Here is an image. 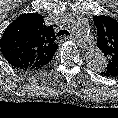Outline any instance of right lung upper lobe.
<instances>
[{"label":"right lung upper lobe","instance_id":"cb5924a9","mask_svg":"<svg viewBox=\"0 0 118 118\" xmlns=\"http://www.w3.org/2000/svg\"><path fill=\"white\" fill-rule=\"evenodd\" d=\"M43 18L37 13H25L5 29L0 48L13 67L39 69L53 58L58 46L52 26H46Z\"/></svg>","mask_w":118,"mask_h":118}]
</instances>
